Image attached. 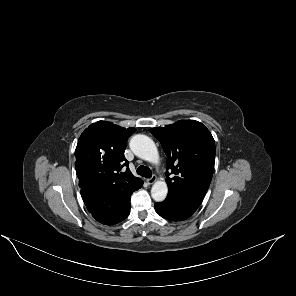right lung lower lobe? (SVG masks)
<instances>
[{"label": "right lung lower lobe", "mask_w": 296, "mask_h": 296, "mask_svg": "<svg viewBox=\"0 0 296 296\" xmlns=\"http://www.w3.org/2000/svg\"><path fill=\"white\" fill-rule=\"evenodd\" d=\"M142 185L143 181L129 189L103 192L88 189L84 183L81 195L88 211L98 222L114 225L129 215L131 194Z\"/></svg>", "instance_id": "1"}]
</instances>
